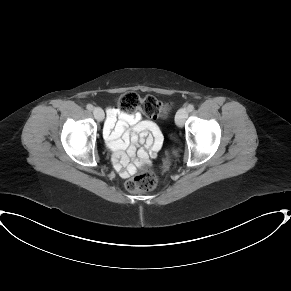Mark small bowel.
<instances>
[{
  "label": "small bowel",
  "instance_id": "1",
  "mask_svg": "<svg viewBox=\"0 0 291 291\" xmlns=\"http://www.w3.org/2000/svg\"><path fill=\"white\" fill-rule=\"evenodd\" d=\"M103 132L114 151L117 170L126 176L142 165L151 164L162 145L156 123L143 121L140 113L125 112L117 106L106 109Z\"/></svg>",
  "mask_w": 291,
  "mask_h": 291
}]
</instances>
